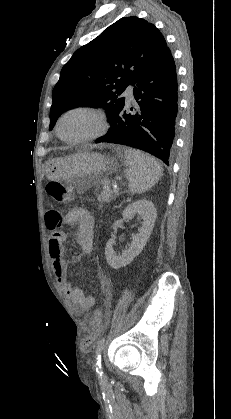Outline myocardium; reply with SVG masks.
Returning a JSON list of instances; mask_svg holds the SVG:
<instances>
[{"label":"myocardium","instance_id":"obj_1","mask_svg":"<svg viewBox=\"0 0 231 419\" xmlns=\"http://www.w3.org/2000/svg\"><path fill=\"white\" fill-rule=\"evenodd\" d=\"M74 112H85V113H89L93 115L98 121V129L95 132L87 136L80 137V138H65L64 136H62L60 132L61 122L68 114L74 113ZM55 129H56L57 136L61 140L67 143H71V144H79V143H86V142L96 140L102 135H104L108 129V122H107V117L102 110L94 108V107H89V106H76V107L66 110L64 113L60 115V117L58 118L56 122Z\"/></svg>","mask_w":231,"mask_h":419}]
</instances>
